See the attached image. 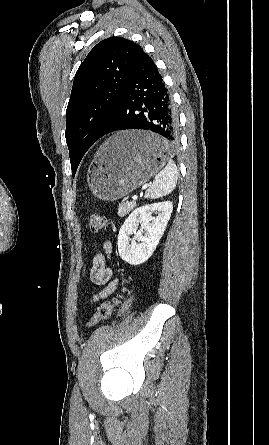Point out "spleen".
<instances>
[{
  "label": "spleen",
  "mask_w": 269,
  "mask_h": 445,
  "mask_svg": "<svg viewBox=\"0 0 269 445\" xmlns=\"http://www.w3.org/2000/svg\"><path fill=\"white\" fill-rule=\"evenodd\" d=\"M165 146L168 147L167 142ZM178 171L172 159H168V163L154 178L153 184L145 192V198L156 199L170 194L176 187Z\"/></svg>",
  "instance_id": "3e777b00"
}]
</instances>
